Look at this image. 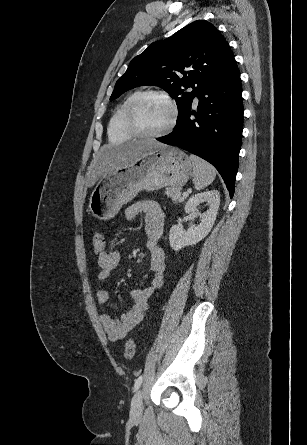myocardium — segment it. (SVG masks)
Here are the masks:
<instances>
[{"instance_id":"obj_1","label":"myocardium","mask_w":307,"mask_h":445,"mask_svg":"<svg viewBox=\"0 0 307 445\" xmlns=\"http://www.w3.org/2000/svg\"><path fill=\"white\" fill-rule=\"evenodd\" d=\"M157 97L165 101L171 110V119L168 124L159 132H147L140 125L138 120V110L140 105L148 98ZM178 108L173 99L166 93L156 90H147L140 93L131 103L128 110V123L133 134L138 136V139H163L175 127L178 119Z\"/></svg>"}]
</instances>
